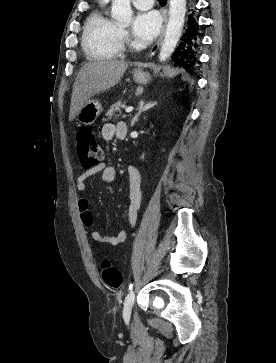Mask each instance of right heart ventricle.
Returning <instances> with one entry per match:
<instances>
[{"label":"right heart ventricle","instance_id":"e07e8e85","mask_svg":"<svg viewBox=\"0 0 276 363\" xmlns=\"http://www.w3.org/2000/svg\"><path fill=\"white\" fill-rule=\"evenodd\" d=\"M82 47L87 56L95 60L119 56L123 51L121 26L104 10H96L85 24Z\"/></svg>","mask_w":276,"mask_h":363}]
</instances>
